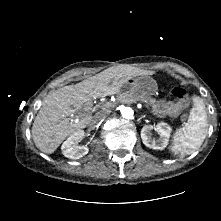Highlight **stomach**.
<instances>
[{"instance_id":"stomach-1","label":"stomach","mask_w":221,"mask_h":221,"mask_svg":"<svg viewBox=\"0 0 221 221\" xmlns=\"http://www.w3.org/2000/svg\"><path fill=\"white\" fill-rule=\"evenodd\" d=\"M153 83L154 82L152 79L146 76H141L137 78H131L123 85L126 92L133 93L136 96H146L153 93Z\"/></svg>"}]
</instances>
